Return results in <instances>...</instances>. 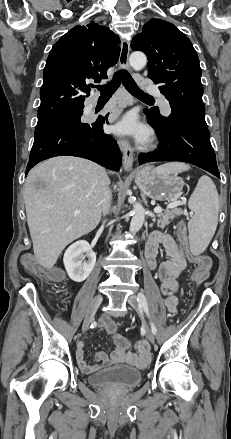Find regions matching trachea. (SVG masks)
Masks as SVG:
<instances>
[{
  "label": "trachea",
  "mask_w": 231,
  "mask_h": 439,
  "mask_svg": "<svg viewBox=\"0 0 231 439\" xmlns=\"http://www.w3.org/2000/svg\"><path fill=\"white\" fill-rule=\"evenodd\" d=\"M121 82L123 83L127 91L136 98L141 100L154 99L152 96L148 95L137 86L132 76L126 70L117 71L114 74L113 79L108 84L99 85L97 86V89L100 91L101 97H111L118 89Z\"/></svg>",
  "instance_id": "1"
}]
</instances>
